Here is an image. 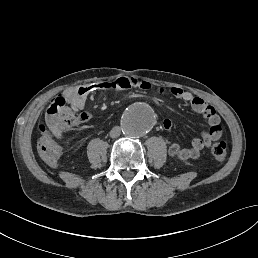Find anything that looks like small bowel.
Listing matches in <instances>:
<instances>
[{
    "instance_id": "1",
    "label": "small bowel",
    "mask_w": 258,
    "mask_h": 258,
    "mask_svg": "<svg viewBox=\"0 0 258 258\" xmlns=\"http://www.w3.org/2000/svg\"><path fill=\"white\" fill-rule=\"evenodd\" d=\"M130 88H138L141 90H150L151 84L146 81H141L133 77H120L113 82L107 83H92L83 85L77 88L69 89L63 94L55 97L46 114V122L56 138L62 139L63 128L60 125L59 118L63 111H81L86 103L87 97L97 91L104 90H126ZM166 90L159 88L158 93L164 94ZM170 93L177 99L187 102L191 105L194 112L202 115L209 124V128L201 133V136L193 139L189 147H183L180 144H172L168 149V154L179 160L196 159L200 152L209 148L211 143L218 140L222 135L220 125V117L214 107L207 104L202 98L194 96L191 92L183 90L179 87H172ZM84 122L91 119L89 113H82ZM163 127L170 132L173 128L172 122L169 119L164 120ZM48 164V163H46ZM51 167L55 165L48 164Z\"/></svg>"
}]
</instances>
